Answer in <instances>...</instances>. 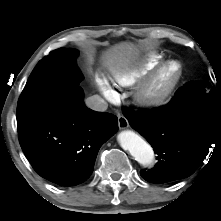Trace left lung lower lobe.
<instances>
[{"instance_id": "1", "label": "left lung lower lobe", "mask_w": 221, "mask_h": 221, "mask_svg": "<svg viewBox=\"0 0 221 221\" xmlns=\"http://www.w3.org/2000/svg\"><path fill=\"white\" fill-rule=\"evenodd\" d=\"M189 82L185 87H193ZM130 125L151 144L158 162L141 176L166 183L190 176L202 164L209 148L221 140L220 112L179 111L165 107L143 112L123 110Z\"/></svg>"}]
</instances>
